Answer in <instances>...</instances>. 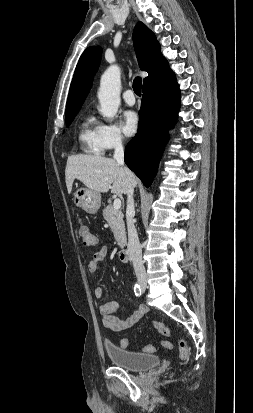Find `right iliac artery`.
I'll use <instances>...</instances> for the list:
<instances>
[{
    "label": "right iliac artery",
    "instance_id": "obj_1",
    "mask_svg": "<svg viewBox=\"0 0 253 413\" xmlns=\"http://www.w3.org/2000/svg\"><path fill=\"white\" fill-rule=\"evenodd\" d=\"M134 292H135V295L136 296H140L141 295V288H140V286H139V284H135V286H134Z\"/></svg>",
    "mask_w": 253,
    "mask_h": 413
}]
</instances>
